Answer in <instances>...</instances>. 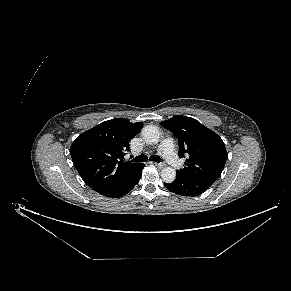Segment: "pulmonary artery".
<instances>
[{"mask_svg":"<svg viewBox=\"0 0 291 291\" xmlns=\"http://www.w3.org/2000/svg\"><path fill=\"white\" fill-rule=\"evenodd\" d=\"M159 151L163 154L166 161L174 168L181 167V161L174 151V143L171 138H166L159 146Z\"/></svg>","mask_w":291,"mask_h":291,"instance_id":"pulmonary-artery-1","label":"pulmonary artery"}]
</instances>
